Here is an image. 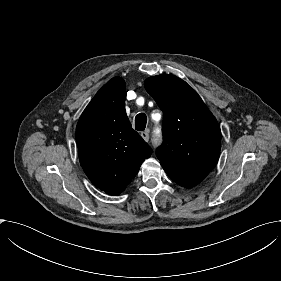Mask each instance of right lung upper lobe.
<instances>
[{
    "label": "right lung upper lobe",
    "mask_w": 281,
    "mask_h": 281,
    "mask_svg": "<svg viewBox=\"0 0 281 281\" xmlns=\"http://www.w3.org/2000/svg\"><path fill=\"white\" fill-rule=\"evenodd\" d=\"M125 82L114 77L82 113L76 127L80 164L90 181L118 195L152 150L132 128L125 111Z\"/></svg>",
    "instance_id": "right-lung-upper-lobe-1"
}]
</instances>
